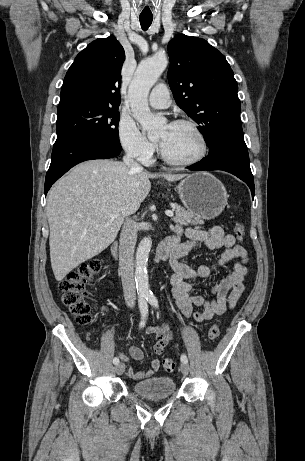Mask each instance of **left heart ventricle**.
Returning a JSON list of instances; mask_svg holds the SVG:
<instances>
[{
    "label": "left heart ventricle",
    "instance_id": "1",
    "mask_svg": "<svg viewBox=\"0 0 305 461\" xmlns=\"http://www.w3.org/2000/svg\"><path fill=\"white\" fill-rule=\"evenodd\" d=\"M168 156L176 160L194 158L200 151V142L194 131L184 125H166L158 136Z\"/></svg>",
    "mask_w": 305,
    "mask_h": 461
}]
</instances>
